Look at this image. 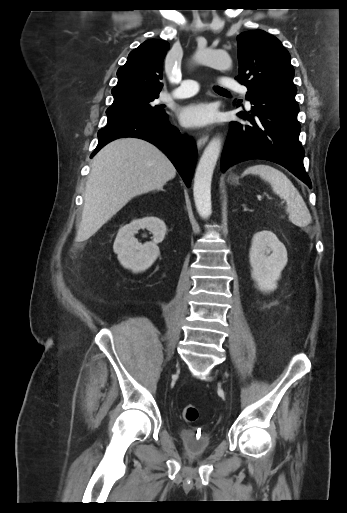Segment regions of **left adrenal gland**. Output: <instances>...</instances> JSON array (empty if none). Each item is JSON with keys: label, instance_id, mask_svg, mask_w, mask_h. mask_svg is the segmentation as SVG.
<instances>
[{"label": "left adrenal gland", "instance_id": "left-adrenal-gland-1", "mask_svg": "<svg viewBox=\"0 0 347 513\" xmlns=\"http://www.w3.org/2000/svg\"><path fill=\"white\" fill-rule=\"evenodd\" d=\"M242 206H243V208H244V211H247V210H248V208L246 207V205H245V204H243Z\"/></svg>", "mask_w": 347, "mask_h": 513}]
</instances>
